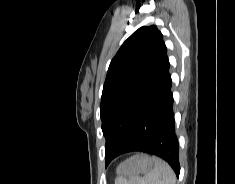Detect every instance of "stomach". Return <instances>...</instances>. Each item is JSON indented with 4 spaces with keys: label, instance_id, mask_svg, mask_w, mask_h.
<instances>
[{
    "label": "stomach",
    "instance_id": "obj_1",
    "mask_svg": "<svg viewBox=\"0 0 235 184\" xmlns=\"http://www.w3.org/2000/svg\"><path fill=\"white\" fill-rule=\"evenodd\" d=\"M153 166L154 162H152L150 156L136 154V156H132L129 160L119 164L116 168V174L121 178H132V176H138V174H148Z\"/></svg>",
    "mask_w": 235,
    "mask_h": 184
}]
</instances>
